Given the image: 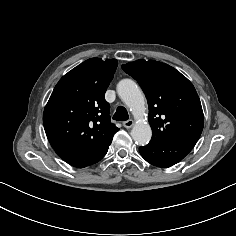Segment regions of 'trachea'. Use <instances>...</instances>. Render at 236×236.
Returning a JSON list of instances; mask_svg holds the SVG:
<instances>
[{"instance_id":"3493384b","label":"trachea","mask_w":236,"mask_h":236,"mask_svg":"<svg viewBox=\"0 0 236 236\" xmlns=\"http://www.w3.org/2000/svg\"><path fill=\"white\" fill-rule=\"evenodd\" d=\"M113 119L116 121H127L129 119L127 110L123 106H119L113 115Z\"/></svg>"}]
</instances>
